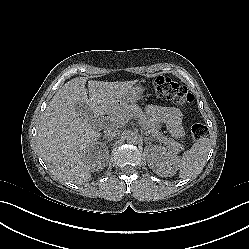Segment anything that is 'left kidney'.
Listing matches in <instances>:
<instances>
[{
	"instance_id": "1",
	"label": "left kidney",
	"mask_w": 249,
	"mask_h": 249,
	"mask_svg": "<svg viewBox=\"0 0 249 249\" xmlns=\"http://www.w3.org/2000/svg\"><path fill=\"white\" fill-rule=\"evenodd\" d=\"M155 151V157L158 160V162L160 163V165L164 168V169H168L169 167V163H167L165 161L166 159V155H168V152H166L165 148H161V147H156L154 148Z\"/></svg>"
}]
</instances>
